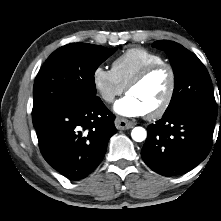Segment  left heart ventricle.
Instances as JSON below:
<instances>
[{"label": "left heart ventricle", "instance_id": "left-heart-ventricle-1", "mask_svg": "<svg viewBox=\"0 0 221 221\" xmlns=\"http://www.w3.org/2000/svg\"><path fill=\"white\" fill-rule=\"evenodd\" d=\"M169 83L168 70L161 68L153 72L141 84L132 88L128 94L137 98L148 113L161 104L168 91Z\"/></svg>", "mask_w": 221, "mask_h": 221}]
</instances>
